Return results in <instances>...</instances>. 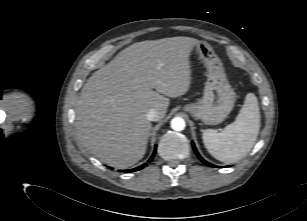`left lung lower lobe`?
Instances as JSON below:
<instances>
[{"label":"left lung lower lobe","instance_id":"left-lung-lower-lobe-1","mask_svg":"<svg viewBox=\"0 0 307 221\" xmlns=\"http://www.w3.org/2000/svg\"><path fill=\"white\" fill-rule=\"evenodd\" d=\"M193 149H194V152H195V154L197 155V157H198L203 163H205L206 165L211 166V167H217V166H215V165H213V164L207 162L206 160H204V159L200 156V154L198 153V151H197L196 147L194 146V144H193Z\"/></svg>","mask_w":307,"mask_h":221}]
</instances>
